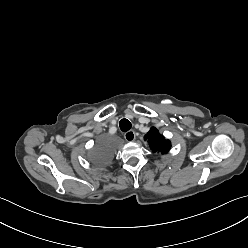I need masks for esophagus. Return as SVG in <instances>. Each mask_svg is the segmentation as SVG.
I'll use <instances>...</instances> for the list:
<instances>
[{
  "label": "esophagus",
  "instance_id": "obj_1",
  "mask_svg": "<svg viewBox=\"0 0 248 248\" xmlns=\"http://www.w3.org/2000/svg\"><path fill=\"white\" fill-rule=\"evenodd\" d=\"M124 137L128 142H132L136 138L135 132L133 130H129L124 134Z\"/></svg>",
  "mask_w": 248,
  "mask_h": 248
}]
</instances>
